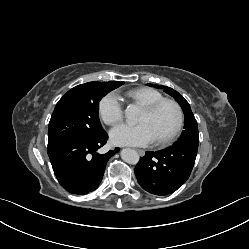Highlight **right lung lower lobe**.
<instances>
[{
  "mask_svg": "<svg viewBox=\"0 0 249 249\" xmlns=\"http://www.w3.org/2000/svg\"><path fill=\"white\" fill-rule=\"evenodd\" d=\"M104 131L93 139L72 140L48 149L53 171L69 193L83 195L95 190L100 184L107 161L119 148L99 154L97 150L106 144Z\"/></svg>",
  "mask_w": 249,
  "mask_h": 249,
  "instance_id": "1",
  "label": "right lung lower lobe"
}]
</instances>
